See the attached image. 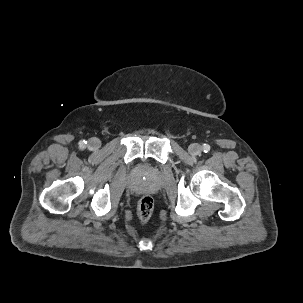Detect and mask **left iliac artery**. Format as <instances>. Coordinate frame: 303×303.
<instances>
[{
	"label": "left iliac artery",
	"instance_id": "left-iliac-artery-1",
	"mask_svg": "<svg viewBox=\"0 0 303 303\" xmlns=\"http://www.w3.org/2000/svg\"><path fill=\"white\" fill-rule=\"evenodd\" d=\"M202 150L207 153L210 151V146L208 144H203Z\"/></svg>",
	"mask_w": 303,
	"mask_h": 303
}]
</instances>
